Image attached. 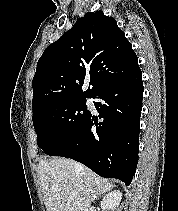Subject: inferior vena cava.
<instances>
[{
  "label": "inferior vena cava",
  "mask_w": 178,
  "mask_h": 211,
  "mask_svg": "<svg viewBox=\"0 0 178 211\" xmlns=\"http://www.w3.org/2000/svg\"><path fill=\"white\" fill-rule=\"evenodd\" d=\"M77 168L81 169L82 167H81V165H80V164H77Z\"/></svg>",
  "instance_id": "602c4592"
}]
</instances>
